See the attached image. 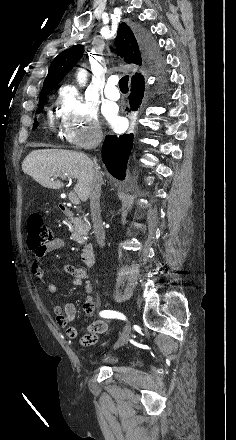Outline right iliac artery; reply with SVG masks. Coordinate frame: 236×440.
Listing matches in <instances>:
<instances>
[{
  "instance_id": "1",
  "label": "right iliac artery",
  "mask_w": 236,
  "mask_h": 440,
  "mask_svg": "<svg viewBox=\"0 0 236 440\" xmlns=\"http://www.w3.org/2000/svg\"><path fill=\"white\" fill-rule=\"evenodd\" d=\"M100 316L103 318H117V319H121V320H125V316L117 311H112V310H103L100 312Z\"/></svg>"
}]
</instances>
